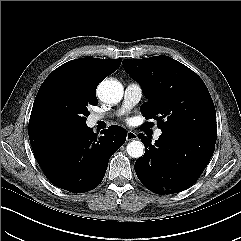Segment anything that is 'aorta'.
<instances>
[{"label": "aorta", "instance_id": "1", "mask_svg": "<svg viewBox=\"0 0 241 241\" xmlns=\"http://www.w3.org/2000/svg\"><path fill=\"white\" fill-rule=\"evenodd\" d=\"M98 95L103 102L118 103L123 96V86L116 80L102 81L98 86ZM126 150L129 156L140 158L144 154V145L139 140H133Z\"/></svg>", "mask_w": 241, "mask_h": 241}]
</instances>
